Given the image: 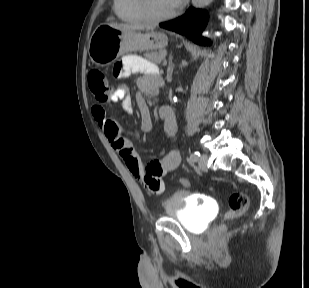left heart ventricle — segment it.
Returning <instances> with one entry per match:
<instances>
[{"mask_svg":"<svg viewBox=\"0 0 309 288\" xmlns=\"http://www.w3.org/2000/svg\"><path fill=\"white\" fill-rule=\"evenodd\" d=\"M154 11L158 14L168 13L176 8L172 0H152Z\"/></svg>","mask_w":309,"mask_h":288,"instance_id":"left-heart-ventricle-1","label":"left heart ventricle"}]
</instances>
